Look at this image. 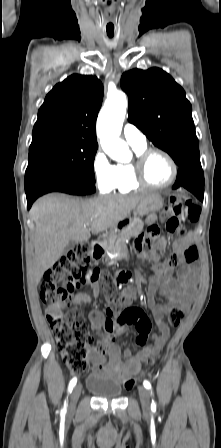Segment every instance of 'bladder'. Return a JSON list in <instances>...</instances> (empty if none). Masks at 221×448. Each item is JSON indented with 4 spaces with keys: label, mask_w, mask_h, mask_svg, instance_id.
<instances>
[{
    "label": "bladder",
    "mask_w": 221,
    "mask_h": 448,
    "mask_svg": "<svg viewBox=\"0 0 221 448\" xmlns=\"http://www.w3.org/2000/svg\"><path fill=\"white\" fill-rule=\"evenodd\" d=\"M86 388L95 397L110 400L120 398L123 390L119 381L102 374H90L86 379Z\"/></svg>",
    "instance_id": "obj_1"
}]
</instances>
